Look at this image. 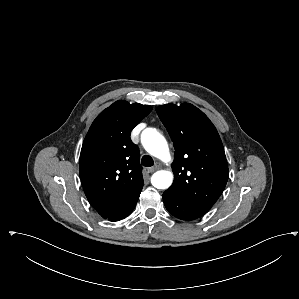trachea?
<instances>
[{"label": "trachea", "instance_id": "obj_1", "mask_svg": "<svg viewBox=\"0 0 299 299\" xmlns=\"http://www.w3.org/2000/svg\"><path fill=\"white\" fill-rule=\"evenodd\" d=\"M141 163L145 167H151L154 165V161L149 155H144L142 157Z\"/></svg>", "mask_w": 299, "mask_h": 299}]
</instances>
